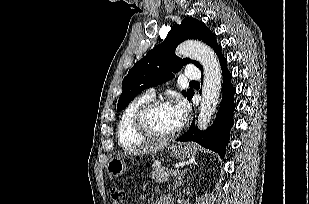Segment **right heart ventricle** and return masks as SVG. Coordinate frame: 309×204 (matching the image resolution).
Instances as JSON below:
<instances>
[{
  "label": "right heart ventricle",
  "instance_id": "1",
  "mask_svg": "<svg viewBox=\"0 0 309 204\" xmlns=\"http://www.w3.org/2000/svg\"><path fill=\"white\" fill-rule=\"evenodd\" d=\"M152 99V94L144 93L134 98L123 111L118 124V140L122 147L137 146L145 141L133 128V117L136 110L146 101Z\"/></svg>",
  "mask_w": 309,
  "mask_h": 204
}]
</instances>
